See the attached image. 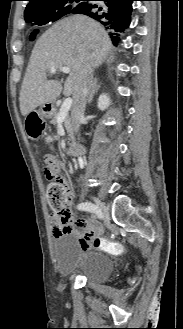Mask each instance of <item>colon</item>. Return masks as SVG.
I'll use <instances>...</instances> for the list:
<instances>
[{"label":"colon","instance_id":"5ec220e1","mask_svg":"<svg viewBox=\"0 0 183 329\" xmlns=\"http://www.w3.org/2000/svg\"><path fill=\"white\" fill-rule=\"evenodd\" d=\"M33 31L43 32L44 26L34 25ZM34 32L30 34L32 37H25V44H37L38 39L37 37H34L36 35ZM50 140L51 138H48V141ZM45 174L50 180V183L48 185L47 197L49 206L52 210V214L56 215L57 217L64 218L69 212L70 190L62 179L60 169H55L51 165L49 159H46ZM95 244L97 247L101 246L116 253H120L122 251V248L120 246L116 244L105 243L104 240L101 238H96Z\"/></svg>","mask_w":183,"mask_h":329}]
</instances>
